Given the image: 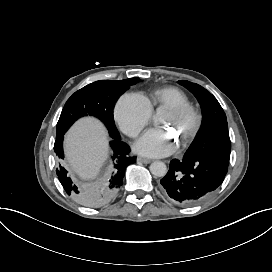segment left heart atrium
Returning <instances> with one entry per match:
<instances>
[{
	"mask_svg": "<svg viewBox=\"0 0 272 272\" xmlns=\"http://www.w3.org/2000/svg\"><path fill=\"white\" fill-rule=\"evenodd\" d=\"M137 148L147 155L166 156L175 150V142L169 131L153 128L144 134Z\"/></svg>",
	"mask_w": 272,
	"mask_h": 272,
	"instance_id": "39dd6f15",
	"label": "left heart atrium"
}]
</instances>
